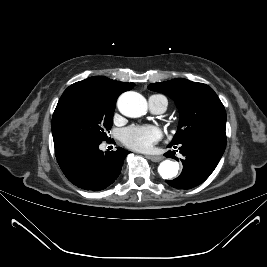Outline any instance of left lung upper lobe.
<instances>
[{
  "label": "left lung upper lobe",
  "instance_id": "1",
  "mask_svg": "<svg viewBox=\"0 0 267 267\" xmlns=\"http://www.w3.org/2000/svg\"><path fill=\"white\" fill-rule=\"evenodd\" d=\"M148 88L169 96L179 109L178 130L169 145L205 136L226 139V112L220 99L208 85L177 78L152 83Z\"/></svg>",
  "mask_w": 267,
  "mask_h": 267
}]
</instances>
